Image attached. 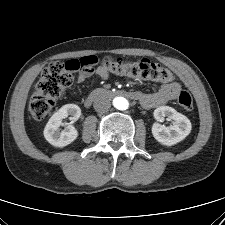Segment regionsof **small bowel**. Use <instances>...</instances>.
Segmentation results:
<instances>
[{
  "mask_svg": "<svg viewBox=\"0 0 225 225\" xmlns=\"http://www.w3.org/2000/svg\"><path fill=\"white\" fill-rule=\"evenodd\" d=\"M92 76L107 79L110 74L102 66H99L78 72L77 81L82 83ZM180 90L181 87L177 82H170L163 84L160 89L154 93H139L138 99L144 108H154L174 100L180 93Z\"/></svg>",
  "mask_w": 225,
  "mask_h": 225,
  "instance_id": "small-bowel-1",
  "label": "small bowel"
}]
</instances>
